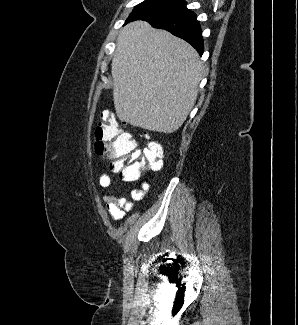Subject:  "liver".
I'll return each mask as SVG.
<instances>
[{
  "instance_id": "obj_1",
  "label": "liver",
  "mask_w": 298,
  "mask_h": 325,
  "mask_svg": "<svg viewBox=\"0 0 298 325\" xmlns=\"http://www.w3.org/2000/svg\"><path fill=\"white\" fill-rule=\"evenodd\" d=\"M203 64L195 48L145 20L123 26L111 62L122 122L157 132L182 126L198 96Z\"/></svg>"
}]
</instances>
